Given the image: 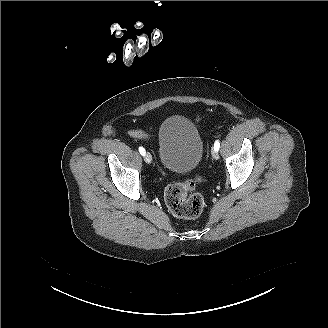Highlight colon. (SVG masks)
I'll use <instances>...</instances> for the list:
<instances>
[{"label": "colon", "mask_w": 328, "mask_h": 328, "mask_svg": "<svg viewBox=\"0 0 328 328\" xmlns=\"http://www.w3.org/2000/svg\"><path fill=\"white\" fill-rule=\"evenodd\" d=\"M132 136L147 139L148 136L141 131H134ZM202 182L199 175H195L183 181L170 183L164 193L165 203L169 211L182 219L198 218L205 207V200L196 187Z\"/></svg>", "instance_id": "5ec220e1"}]
</instances>
